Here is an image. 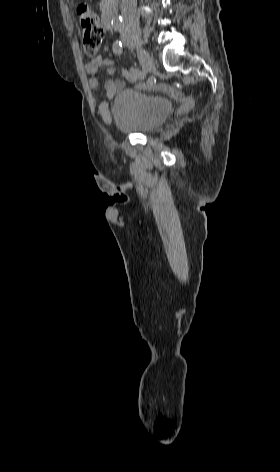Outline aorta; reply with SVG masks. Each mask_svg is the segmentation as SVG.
<instances>
[{"label":"aorta","instance_id":"aorta-1","mask_svg":"<svg viewBox=\"0 0 280 472\" xmlns=\"http://www.w3.org/2000/svg\"><path fill=\"white\" fill-rule=\"evenodd\" d=\"M123 22V18L121 16H117L114 21H113V24L116 25V26H120Z\"/></svg>","mask_w":280,"mask_h":472}]
</instances>
